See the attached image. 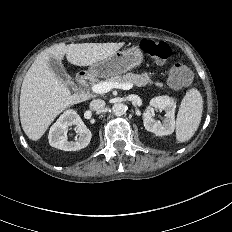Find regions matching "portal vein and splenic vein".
Listing matches in <instances>:
<instances>
[{
  "mask_svg": "<svg viewBox=\"0 0 232 232\" xmlns=\"http://www.w3.org/2000/svg\"><path fill=\"white\" fill-rule=\"evenodd\" d=\"M133 87V83H118V82H112V81H105V82H100L97 84H94L91 87L92 92L97 93V94H104L109 92L113 88H119L123 90H129Z\"/></svg>",
  "mask_w": 232,
  "mask_h": 232,
  "instance_id": "portal-vein-and-splenic-vein-1",
  "label": "portal vein and splenic vein"
}]
</instances>
